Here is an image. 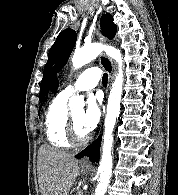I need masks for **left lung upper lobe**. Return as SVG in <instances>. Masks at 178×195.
<instances>
[{"label": "left lung upper lobe", "instance_id": "obj_1", "mask_svg": "<svg viewBox=\"0 0 178 195\" xmlns=\"http://www.w3.org/2000/svg\"><path fill=\"white\" fill-rule=\"evenodd\" d=\"M103 34L112 39L115 37L117 26L113 23V17L109 14H103L100 20ZM77 34L74 30L68 28L62 31L56 38L55 43L49 50L48 61L44 67L43 79L40 87V101L45 99L49 92L53 76L59 72L64 65L75 46Z\"/></svg>", "mask_w": 178, "mask_h": 195}]
</instances>
